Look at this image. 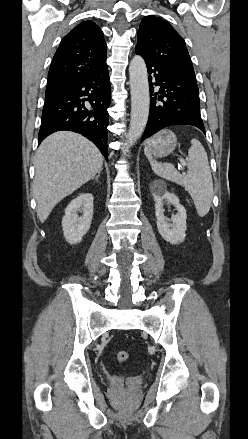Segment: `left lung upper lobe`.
Wrapping results in <instances>:
<instances>
[{
    "instance_id": "obj_1",
    "label": "left lung upper lobe",
    "mask_w": 248,
    "mask_h": 439,
    "mask_svg": "<svg viewBox=\"0 0 248 439\" xmlns=\"http://www.w3.org/2000/svg\"><path fill=\"white\" fill-rule=\"evenodd\" d=\"M136 49L148 59L195 78L185 41L166 20L145 17L138 30Z\"/></svg>"
}]
</instances>
